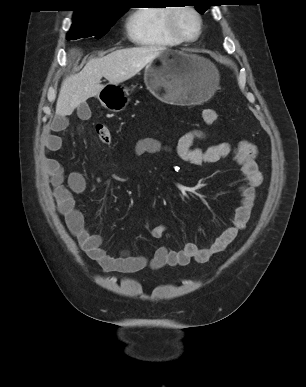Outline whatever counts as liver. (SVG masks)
<instances>
[{
  "mask_svg": "<svg viewBox=\"0 0 306 387\" xmlns=\"http://www.w3.org/2000/svg\"><path fill=\"white\" fill-rule=\"evenodd\" d=\"M165 48L134 47L116 50L102 58L90 59L77 74L64 79L59 92L56 114L71 115L75 108L88 98L97 96L105 87L104 77L109 84H119L139 73L146 65L157 58Z\"/></svg>",
  "mask_w": 306,
  "mask_h": 387,
  "instance_id": "obj_1",
  "label": "liver"
}]
</instances>
